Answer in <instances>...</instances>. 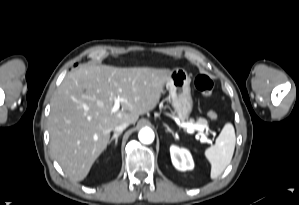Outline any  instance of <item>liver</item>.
Returning <instances> with one entry per match:
<instances>
[{"mask_svg": "<svg viewBox=\"0 0 299 205\" xmlns=\"http://www.w3.org/2000/svg\"><path fill=\"white\" fill-rule=\"evenodd\" d=\"M170 74L107 65H83L67 74L51 99L48 130L53 156L71 180L88 175L116 126L135 124L156 107ZM114 98L124 100L116 112Z\"/></svg>", "mask_w": 299, "mask_h": 205, "instance_id": "obj_1", "label": "liver"}]
</instances>
